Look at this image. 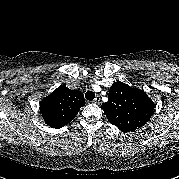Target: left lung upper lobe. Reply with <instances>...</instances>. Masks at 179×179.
Here are the masks:
<instances>
[{
	"mask_svg": "<svg viewBox=\"0 0 179 179\" xmlns=\"http://www.w3.org/2000/svg\"><path fill=\"white\" fill-rule=\"evenodd\" d=\"M101 108L111 124L122 132H130L150 120L154 103L143 90L117 81L110 88L108 102Z\"/></svg>",
	"mask_w": 179,
	"mask_h": 179,
	"instance_id": "1",
	"label": "left lung upper lobe"
}]
</instances>
